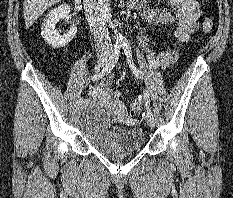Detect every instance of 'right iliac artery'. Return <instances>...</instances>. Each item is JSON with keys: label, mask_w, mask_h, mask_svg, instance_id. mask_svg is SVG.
Returning <instances> with one entry per match:
<instances>
[{"label": "right iliac artery", "mask_w": 233, "mask_h": 198, "mask_svg": "<svg viewBox=\"0 0 233 198\" xmlns=\"http://www.w3.org/2000/svg\"><path fill=\"white\" fill-rule=\"evenodd\" d=\"M119 54H120V45L115 44L114 45V50L113 53L111 55V57L109 58V61L105 64V66L103 67V69L99 72V67H96V73L94 75L91 76L90 80L91 81H96L102 77H104L105 75L109 74L110 71L114 68L118 58H119ZM84 103L83 98H80L78 101L79 105H82Z\"/></svg>", "instance_id": "obj_1"}]
</instances>
